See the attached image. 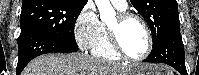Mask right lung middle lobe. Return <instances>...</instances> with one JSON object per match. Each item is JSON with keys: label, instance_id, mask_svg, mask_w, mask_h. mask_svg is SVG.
Segmentation results:
<instances>
[{"label": "right lung middle lobe", "instance_id": "dd1d6c3e", "mask_svg": "<svg viewBox=\"0 0 199 75\" xmlns=\"http://www.w3.org/2000/svg\"><path fill=\"white\" fill-rule=\"evenodd\" d=\"M83 7L84 5H73L61 1L22 4L21 34L18 40L33 34H42L77 46L74 27Z\"/></svg>", "mask_w": 199, "mask_h": 75}]
</instances>
